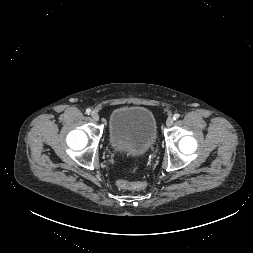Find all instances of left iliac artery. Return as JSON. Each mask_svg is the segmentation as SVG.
<instances>
[{
  "mask_svg": "<svg viewBox=\"0 0 253 253\" xmlns=\"http://www.w3.org/2000/svg\"><path fill=\"white\" fill-rule=\"evenodd\" d=\"M179 116H180V115H179L178 113H176V114H174L173 119H174V120H177V119L179 118Z\"/></svg>",
  "mask_w": 253,
  "mask_h": 253,
  "instance_id": "left-iliac-artery-1",
  "label": "left iliac artery"
}]
</instances>
